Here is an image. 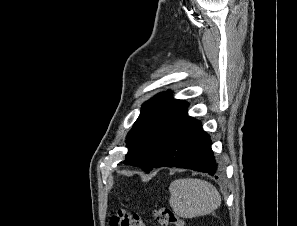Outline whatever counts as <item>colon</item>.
I'll return each mask as SVG.
<instances>
[{"instance_id":"colon-1","label":"colon","mask_w":297,"mask_h":226,"mask_svg":"<svg viewBox=\"0 0 297 226\" xmlns=\"http://www.w3.org/2000/svg\"><path fill=\"white\" fill-rule=\"evenodd\" d=\"M154 217L162 226H185L184 221L166 206L157 209L154 212ZM110 226H144V223L137 213L118 209L110 217Z\"/></svg>"}]
</instances>
